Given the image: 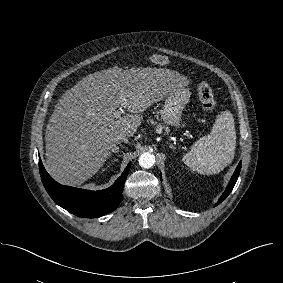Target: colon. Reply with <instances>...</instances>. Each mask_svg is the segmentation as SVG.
Wrapping results in <instances>:
<instances>
[{
	"label": "colon",
	"mask_w": 283,
	"mask_h": 283,
	"mask_svg": "<svg viewBox=\"0 0 283 283\" xmlns=\"http://www.w3.org/2000/svg\"><path fill=\"white\" fill-rule=\"evenodd\" d=\"M150 62L157 65H166L168 64L167 57L160 54H152L149 57ZM198 96L201 102L202 107L207 111H213L216 107V101L212 88L206 83L201 82L198 85Z\"/></svg>",
	"instance_id": "5ec220e1"
}]
</instances>
